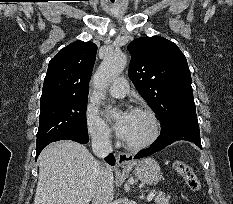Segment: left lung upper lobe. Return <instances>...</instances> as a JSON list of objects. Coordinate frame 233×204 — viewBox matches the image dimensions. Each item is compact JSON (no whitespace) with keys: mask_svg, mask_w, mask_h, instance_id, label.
<instances>
[{"mask_svg":"<svg viewBox=\"0 0 233 204\" xmlns=\"http://www.w3.org/2000/svg\"><path fill=\"white\" fill-rule=\"evenodd\" d=\"M129 78L156 113L161 131L175 124H198L191 74L176 44L159 36L133 40Z\"/></svg>","mask_w":233,"mask_h":204,"instance_id":"1","label":"left lung upper lobe"}]
</instances>
